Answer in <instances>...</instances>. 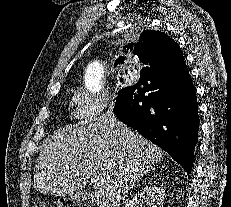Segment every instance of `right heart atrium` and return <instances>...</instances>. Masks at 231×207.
I'll list each match as a JSON object with an SVG mask.
<instances>
[{
    "mask_svg": "<svg viewBox=\"0 0 231 207\" xmlns=\"http://www.w3.org/2000/svg\"><path fill=\"white\" fill-rule=\"evenodd\" d=\"M111 105L109 97L78 91L71 98L74 118L80 123H92L104 114Z\"/></svg>",
    "mask_w": 231,
    "mask_h": 207,
    "instance_id": "d8ad5b80",
    "label": "right heart atrium"
}]
</instances>
